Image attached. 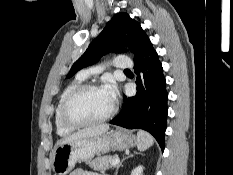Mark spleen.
<instances>
[{"label":"spleen","mask_w":233,"mask_h":175,"mask_svg":"<svg viewBox=\"0 0 233 175\" xmlns=\"http://www.w3.org/2000/svg\"><path fill=\"white\" fill-rule=\"evenodd\" d=\"M154 143L153 137L146 131L139 130L137 132L136 145L139 151H144Z\"/></svg>","instance_id":"1"}]
</instances>
